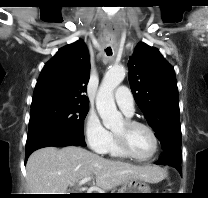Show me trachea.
Returning a JSON list of instances; mask_svg holds the SVG:
<instances>
[{
  "label": "trachea",
  "instance_id": "3493384b",
  "mask_svg": "<svg viewBox=\"0 0 208 198\" xmlns=\"http://www.w3.org/2000/svg\"><path fill=\"white\" fill-rule=\"evenodd\" d=\"M106 54L109 56L112 54V49L110 47L107 48Z\"/></svg>",
  "mask_w": 208,
  "mask_h": 198
}]
</instances>
